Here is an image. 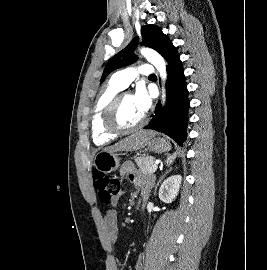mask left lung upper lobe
<instances>
[{
  "label": "left lung upper lobe",
  "instance_id": "5c2ea615",
  "mask_svg": "<svg viewBox=\"0 0 267 270\" xmlns=\"http://www.w3.org/2000/svg\"><path fill=\"white\" fill-rule=\"evenodd\" d=\"M141 36L143 45L156 50L163 57L166 56L170 48L173 46L169 38L160 32V28L155 25L143 26L141 28ZM137 40L138 38H135L128 46H126L123 50H121L109 60L103 71L101 82L113 70L130 65L137 60V55L133 53V50L137 46Z\"/></svg>",
  "mask_w": 267,
  "mask_h": 270
}]
</instances>
